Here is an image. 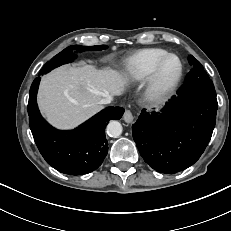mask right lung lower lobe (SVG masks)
I'll use <instances>...</instances> for the list:
<instances>
[{"label": "right lung lower lobe", "instance_id": "right-lung-lower-lobe-1", "mask_svg": "<svg viewBox=\"0 0 231 231\" xmlns=\"http://www.w3.org/2000/svg\"><path fill=\"white\" fill-rule=\"evenodd\" d=\"M38 76L29 93V126L43 158L53 168L68 175H81L96 170L108 153L105 127L112 119H120L121 107H108L71 131H60L50 126L41 116L36 95Z\"/></svg>", "mask_w": 231, "mask_h": 231}]
</instances>
